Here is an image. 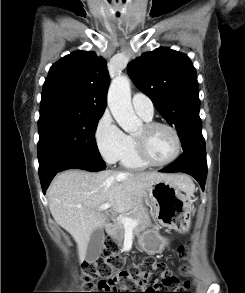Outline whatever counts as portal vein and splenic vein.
Returning <instances> with one entry per match:
<instances>
[{
  "mask_svg": "<svg viewBox=\"0 0 245 293\" xmlns=\"http://www.w3.org/2000/svg\"><path fill=\"white\" fill-rule=\"evenodd\" d=\"M111 206L110 203H105L99 207V210H106ZM120 222L123 224L125 230H133L138 225V220H133L129 217H120Z\"/></svg>",
  "mask_w": 245,
  "mask_h": 293,
  "instance_id": "obj_1",
  "label": "portal vein and splenic vein"
}]
</instances>
